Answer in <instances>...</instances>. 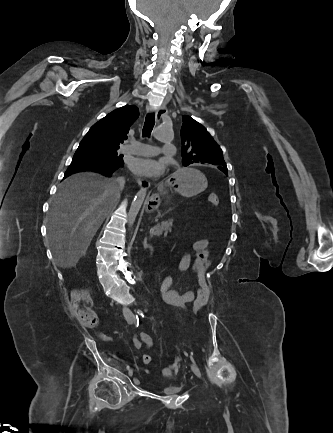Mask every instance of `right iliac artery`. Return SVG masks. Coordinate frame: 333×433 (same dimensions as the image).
<instances>
[{
	"mask_svg": "<svg viewBox=\"0 0 333 433\" xmlns=\"http://www.w3.org/2000/svg\"><path fill=\"white\" fill-rule=\"evenodd\" d=\"M137 326H138V323H137ZM126 368H127V370H129V369H130V367H129L128 365L126 366Z\"/></svg>",
	"mask_w": 333,
	"mask_h": 433,
	"instance_id": "right-iliac-artery-1",
	"label": "right iliac artery"
}]
</instances>
